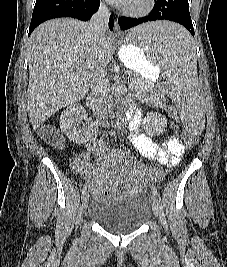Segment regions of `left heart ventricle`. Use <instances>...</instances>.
<instances>
[{
	"label": "left heart ventricle",
	"mask_w": 227,
	"mask_h": 267,
	"mask_svg": "<svg viewBox=\"0 0 227 267\" xmlns=\"http://www.w3.org/2000/svg\"><path fill=\"white\" fill-rule=\"evenodd\" d=\"M140 1H142V0H133L130 4H137Z\"/></svg>",
	"instance_id": "left-heart-ventricle-1"
}]
</instances>
